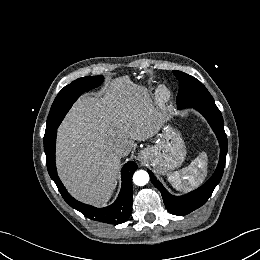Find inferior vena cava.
<instances>
[{
    "label": "inferior vena cava",
    "instance_id": "obj_1",
    "mask_svg": "<svg viewBox=\"0 0 260 260\" xmlns=\"http://www.w3.org/2000/svg\"><path fill=\"white\" fill-rule=\"evenodd\" d=\"M113 151H114L115 155H117L119 157H124V156L128 155L130 150L124 144H118V145L114 146Z\"/></svg>",
    "mask_w": 260,
    "mask_h": 260
}]
</instances>
